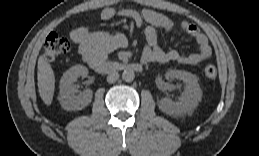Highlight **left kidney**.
Wrapping results in <instances>:
<instances>
[{"label":"left kidney","mask_w":259,"mask_h":156,"mask_svg":"<svg viewBox=\"0 0 259 156\" xmlns=\"http://www.w3.org/2000/svg\"><path fill=\"white\" fill-rule=\"evenodd\" d=\"M166 76L171 79L182 80L185 83V91L178 102H174L169 98H162L158 102L159 109L168 115L174 116H180L192 111L202 97V90L197 77L182 70H170L166 73Z\"/></svg>","instance_id":"left-kidney-1"}]
</instances>
